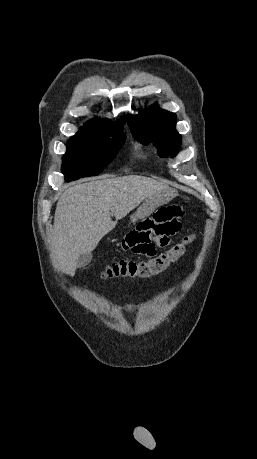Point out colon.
Returning <instances> with one entry per match:
<instances>
[{
    "instance_id": "5ec220e1",
    "label": "colon",
    "mask_w": 257,
    "mask_h": 459,
    "mask_svg": "<svg viewBox=\"0 0 257 459\" xmlns=\"http://www.w3.org/2000/svg\"><path fill=\"white\" fill-rule=\"evenodd\" d=\"M193 238L192 235L187 236L182 242L156 255V258L141 261L126 259L115 261L104 269L103 276L105 278L122 277L130 279H149L155 277L186 253L187 246L193 241Z\"/></svg>"
}]
</instances>
